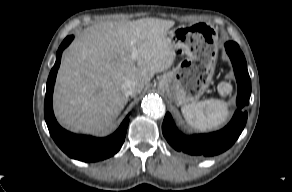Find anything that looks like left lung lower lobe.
Segmentation results:
<instances>
[{
    "mask_svg": "<svg viewBox=\"0 0 292 192\" xmlns=\"http://www.w3.org/2000/svg\"><path fill=\"white\" fill-rule=\"evenodd\" d=\"M238 83L237 106L230 123L220 131L210 134L185 136L180 133L169 113L166 114L162 132L168 143L177 151L195 156H214L230 148L237 140L247 121V112L241 109L248 105L251 94V81L247 71V64L242 51L235 42L225 44Z\"/></svg>",
    "mask_w": 292,
    "mask_h": 192,
    "instance_id": "0a47b994",
    "label": "left lung lower lobe"
}]
</instances>
